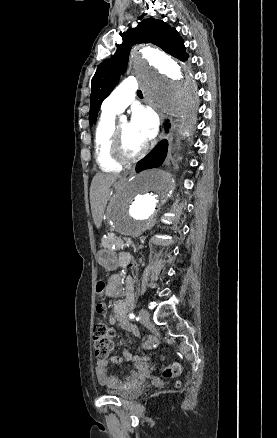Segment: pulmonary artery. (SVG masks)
<instances>
[{"label":"pulmonary artery","mask_w":277,"mask_h":438,"mask_svg":"<svg viewBox=\"0 0 277 438\" xmlns=\"http://www.w3.org/2000/svg\"><path fill=\"white\" fill-rule=\"evenodd\" d=\"M138 88V83L134 76H125L124 81L120 83L116 95H107L106 103L102 106L104 114L109 116H116L123 112V110L133 101V96Z\"/></svg>","instance_id":"1"}]
</instances>
